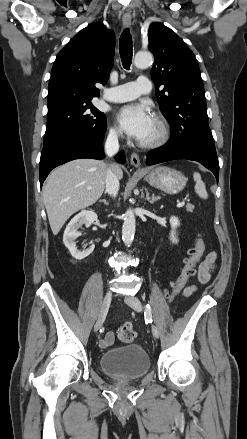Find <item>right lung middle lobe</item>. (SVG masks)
Listing matches in <instances>:
<instances>
[{
	"label": "right lung middle lobe",
	"mask_w": 247,
	"mask_h": 439,
	"mask_svg": "<svg viewBox=\"0 0 247 439\" xmlns=\"http://www.w3.org/2000/svg\"><path fill=\"white\" fill-rule=\"evenodd\" d=\"M105 126V115L91 100L63 101L48 109L44 142L69 134L98 131Z\"/></svg>",
	"instance_id": "right-lung-middle-lobe-1"
}]
</instances>
